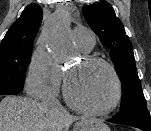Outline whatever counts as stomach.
<instances>
[{"label": "stomach", "mask_w": 151, "mask_h": 131, "mask_svg": "<svg viewBox=\"0 0 151 131\" xmlns=\"http://www.w3.org/2000/svg\"><path fill=\"white\" fill-rule=\"evenodd\" d=\"M74 131H110L109 127L98 119H89L78 123Z\"/></svg>", "instance_id": "stomach-1"}]
</instances>
